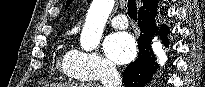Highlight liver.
Masks as SVG:
<instances>
[{
	"mask_svg": "<svg viewBox=\"0 0 205 87\" xmlns=\"http://www.w3.org/2000/svg\"><path fill=\"white\" fill-rule=\"evenodd\" d=\"M51 87H101V86L98 84L62 83V84H52Z\"/></svg>",
	"mask_w": 205,
	"mask_h": 87,
	"instance_id": "1",
	"label": "liver"
}]
</instances>
